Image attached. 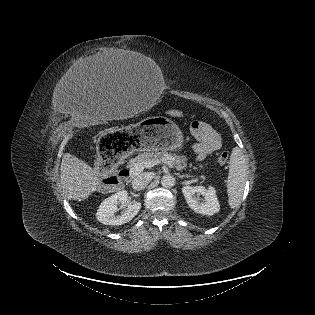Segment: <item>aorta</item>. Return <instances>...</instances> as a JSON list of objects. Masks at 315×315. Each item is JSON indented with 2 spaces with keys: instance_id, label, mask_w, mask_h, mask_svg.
Instances as JSON below:
<instances>
[{
  "instance_id": "1",
  "label": "aorta",
  "mask_w": 315,
  "mask_h": 315,
  "mask_svg": "<svg viewBox=\"0 0 315 315\" xmlns=\"http://www.w3.org/2000/svg\"><path fill=\"white\" fill-rule=\"evenodd\" d=\"M174 184H175V178L170 174L164 175L161 178V185L165 188H171L174 186Z\"/></svg>"
}]
</instances>
